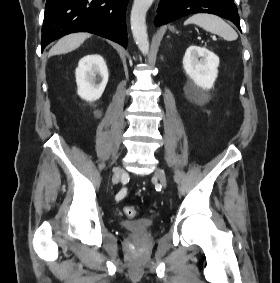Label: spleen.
<instances>
[{
	"instance_id": "spleen-1",
	"label": "spleen",
	"mask_w": 280,
	"mask_h": 283,
	"mask_svg": "<svg viewBox=\"0 0 280 283\" xmlns=\"http://www.w3.org/2000/svg\"><path fill=\"white\" fill-rule=\"evenodd\" d=\"M195 24L205 31L214 33L227 41H233L238 38L236 31L220 17L211 14H195L189 17L184 25Z\"/></svg>"
}]
</instances>
